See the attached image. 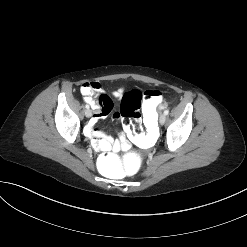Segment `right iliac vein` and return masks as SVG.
I'll return each instance as SVG.
<instances>
[{"mask_svg": "<svg viewBox=\"0 0 247 247\" xmlns=\"http://www.w3.org/2000/svg\"><path fill=\"white\" fill-rule=\"evenodd\" d=\"M85 116L88 117V118H90V117L92 116V112H91L90 109H87V110L85 111Z\"/></svg>", "mask_w": 247, "mask_h": 247, "instance_id": "1", "label": "right iliac vein"}]
</instances>
